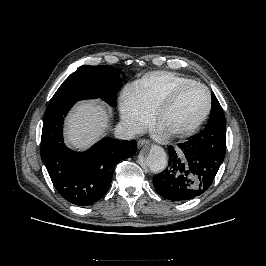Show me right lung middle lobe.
I'll return each instance as SVG.
<instances>
[{
	"label": "right lung middle lobe",
	"mask_w": 266,
	"mask_h": 266,
	"mask_svg": "<svg viewBox=\"0 0 266 266\" xmlns=\"http://www.w3.org/2000/svg\"><path fill=\"white\" fill-rule=\"evenodd\" d=\"M122 72L110 66L83 65L72 73L52 98L65 97L74 100L101 98L109 105L116 103L117 91L122 84Z\"/></svg>",
	"instance_id": "1"
}]
</instances>
